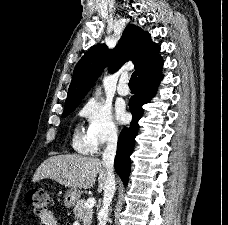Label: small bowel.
I'll use <instances>...</instances> for the list:
<instances>
[{
	"instance_id": "obj_1",
	"label": "small bowel",
	"mask_w": 228,
	"mask_h": 225,
	"mask_svg": "<svg viewBox=\"0 0 228 225\" xmlns=\"http://www.w3.org/2000/svg\"><path fill=\"white\" fill-rule=\"evenodd\" d=\"M40 225H58V222L54 215L50 211H47L40 217Z\"/></svg>"
}]
</instances>
